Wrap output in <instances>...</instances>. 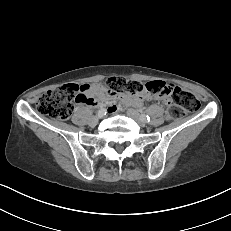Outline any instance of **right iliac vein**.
Here are the masks:
<instances>
[{
    "mask_svg": "<svg viewBox=\"0 0 231 231\" xmlns=\"http://www.w3.org/2000/svg\"><path fill=\"white\" fill-rule=\"evenodd\" d=\"M105 114H97V116L96 117H94L92 120H91V124L93 125V124H96L97 122H98V120L100 119V118H102L103 116H104Z\"/></svg>",
    "mask_w": 231,
    "mask_h": 231,
    "instance_id": "1",
    "label": "right iliac vein"
}]
</instances>
